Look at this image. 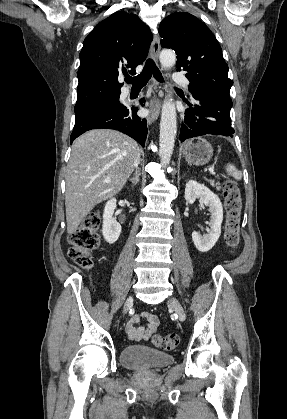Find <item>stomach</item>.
Wrapping results in <instances>:
<instances>
[{
	"mask_svg": "<svg viewBox=\"0 0 287 419\" xmlns=\"http://www.w3.org/2000/svg\"><path fill=\"white\" fill-rule=\"evenodd\" d=\"M182 152L189 164L201 166L210 161L213 155V148L206 139L195 137L184 144Z\"/></svg>",
	"mask_w": 287,
	"mask_h": 419,
	"instance_id": "1",
	"label": "stomach"
}]
</instances>
